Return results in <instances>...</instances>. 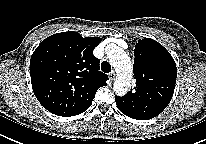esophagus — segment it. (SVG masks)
Here are the masks:
<instances>
[{
	"label": "esophagus",
	"instance_id": "34e87169",
	"mask_svg": "<svg viewBox=\"0 0 206 144\" xmlns=\"http://www.w3.org/2000/svg\"><path fill=\"white\" fill-rule=\"evenodd\" d=\"M115 77H116V74H115L114 71H112V72L109 74V79H110L111 81H113V80L115 79Z\"/></svg>",
	"mask_w": 206,
	"mask_h": 144
}]
</instances>
